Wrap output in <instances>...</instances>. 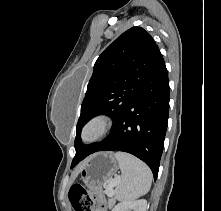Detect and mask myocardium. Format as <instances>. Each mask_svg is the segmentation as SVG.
<instances>
[{
    "instance_id": "f54148a6",
    "label": "myocardium",
    "mask_w": 221,
    "mask_h": 211,
    "mask_svg": "<svg viewBox=\"0 0 221 211\" xmlns=\"http://www.w3.org/2000/svg\"><path fill=\"white\" fill-rule=\"evenodd\" d=\"M111 128V119L105 114L90 117L82 126L80 139L83 143L92 144L102 139Z\"/></svg>"
}]
</instances>
